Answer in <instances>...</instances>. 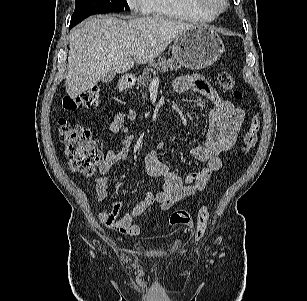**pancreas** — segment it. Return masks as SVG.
Here are the masks:
<instances>
[{
	"instance_id": "cf45deb5",
	"label": "pancreas",
	"mask_w": 307,
	"mask_h": 301,
	"mask_svg": "<svg viewBox=\"0 0 307 301\" xmlns=\"http://www.w3.org/2000/svg\"><path fill=\"white\" fill-rule=\"evenodd\" d=\"M181 68L174 59H167L166 57H159L157 62H150L149 65L143 70L141 76L138 77V87L146 88L152 78L160 71L167 72L169 70H178Z\"/></svg>"
}]
</instances>
